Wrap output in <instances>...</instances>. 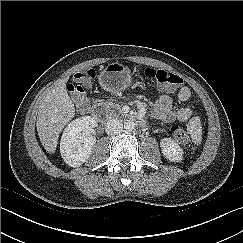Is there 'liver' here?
I'll return each instance as SVG.
<instances>
[{"label":"liver","instance_id":"obj_1","mask_svg":"<svg viewBox=\"0 0 243 243\" xmlns=\"http://www.w3.org/2000/svg\"><path fill=\"white\" fill-rule=\"evenodd\" d=\"M67 79L60 80L43 98L37 115V132L44 149L55 153L58 137L74 117L75 108L66 91Z\"/></svg>","mask_w":243,"mask_h":243}]
</instances>
